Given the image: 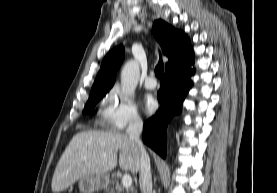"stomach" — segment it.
<instances>
[{"instance_id":"stomach-1","label":"stomach","mask_w":277,"mask_h":193,"mask_svg":"<svg viewBox=\"0 0 277 193\" xmlns=\"http://www.w3.org/2000/svg\"><path fill=\"white\" fill-rule=\"evenodd\" d=\"M108 185L109 177L106 174L86 176L79 180V190L81 193H94L98 190L107 189Z\"/></svg>"}]
</instances>
